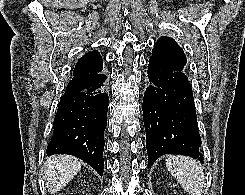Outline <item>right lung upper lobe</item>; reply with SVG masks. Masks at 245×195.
Listing matches in <instances>:
<instances>
[{"label": "right lung upper lobe", "mask_w": 245, "mask_h": 195, "mask_svg": "<svg viewBox=\"0 0 245 195\" xmlns=\"http://www.w3.org/2000/svg\"><path fill=\"white\" fill-rule=\"evenodd\" d=\"M103 66L97 51L85 54L76 64L74 73H86V70Z\"/></svg>", "instance_id": "cb5924a9"}]
</instances>
